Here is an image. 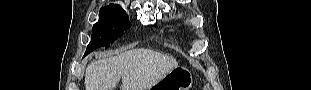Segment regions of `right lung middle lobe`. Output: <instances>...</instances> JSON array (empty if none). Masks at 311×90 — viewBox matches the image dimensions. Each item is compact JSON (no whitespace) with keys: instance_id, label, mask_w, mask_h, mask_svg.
Here are the masks:
<instances>
[{"instance_id":"right-lung-middle-lobe-1","label":"right lung middle lobe","mask_w":311,"mask_h":90,"mask_svg":"<svg viewBox=\"0 0 311 90\" xmlns=\"http://www.w3.org/2000/svg\"><path fill=\"white\" fill-rule=\"evenodd\" d=\"M99 21L92 28L91 42L87 46L85 55L98 47L107 48L123 31L131 27V23L125 11L115 4L103 7L99 11Z\"/></svg>"}]
</instances>
